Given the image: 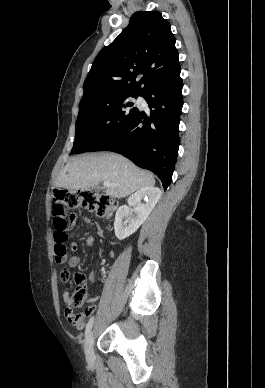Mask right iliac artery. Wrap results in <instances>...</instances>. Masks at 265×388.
Returning <instances> with one entry per match:
<instances>
[{
  "mask_svg": "<svg viewBox=\"0 0 265 388\" xmlns=\"http://www.w3.org/2000/svg\"><path fill=\"white\" fill-rule=\"evenodd\" d=\"M93 323H94V317L92 316V317L89 319V321H88V323H87V325H86L85 336H87V335L89 334V332H90V330H91V328H92V326H93Z\"/></svg>",
  "mask_w": 265,
  "mask_h": 388,
  "instance_id": "1",
  "label": "right iliac artery"
}]
</instances>
